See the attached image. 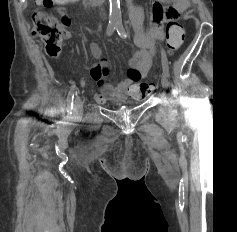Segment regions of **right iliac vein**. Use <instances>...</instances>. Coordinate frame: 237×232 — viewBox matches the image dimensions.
<instances>
[{"instance_id": "right-iliac-vein-1", "label": "right iliac vein", "mask_w": 237, "mask_h": 232, "mask_svg": "<svg viewBox=\"0 0 237 232\" xmlns=\"http://www.w3.org/2000/svg\"><path fill=\"white\" fill-rule=\"evenodd\" d=\"M83 114V102L80 97H77L74 104L73 117L75 120H79Z\"/></svg>"}]
</instances>
